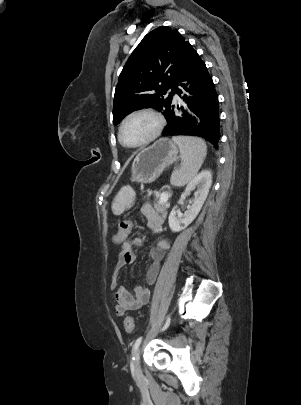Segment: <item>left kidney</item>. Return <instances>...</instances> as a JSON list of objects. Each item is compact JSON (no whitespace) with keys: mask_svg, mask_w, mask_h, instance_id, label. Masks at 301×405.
<instances>
[{"mask_svg":"<svg viewBox=\"0 0 301 405\" xmlns=\"http://www.w3.org/2000/svg\"><path fill=\"white\" fill-rule=\"evenodd\" d=\"M211 184L212 174L208 170H203L188 183L185 192L181 195V201L183 202L186 196L190 195V192L197 188L195 198L182 217L177 216V206L170 212L168 222L173 232L185 229L196 218L208 196Z\"/></svg>","mask_w":301,"mask_h":405,"instance_id":"1","label":"left kidney"}]
</instances>
